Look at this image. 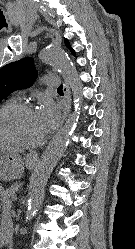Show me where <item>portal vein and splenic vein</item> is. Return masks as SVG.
<instances>
[{"mask_svg":"<svg viewBox=\"0 0 135 249\" xmlns=\"http://www.w3.org/2000/svg\"><path fill=\"white\" fill-rule=\"evenodd\" d=\"M17 200V197L16 196H13L12 197V201H16Z\"/></svg>","mask_w":135,"mask_h":249,"instance_id":"1","label":"portal vein and splenic vein"}]
</instances>
